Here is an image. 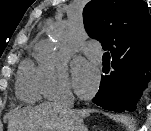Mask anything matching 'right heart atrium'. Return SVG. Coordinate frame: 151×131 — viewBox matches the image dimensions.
<instances>
[{
    "label": "right heart atrium",
    "mask_w": 151,
    "mask_h": 131,
    "mask_svg": "<svg viewBox=\"0 0 151 131\" xmlns=\"http://www.w3.org/2000/svg\"><path fill=\"white\" fill-rule=\"evenodd\" d=\"M38 75L43 95L48 99H58L71 95L67 58L52 50L40 57Z\"/></svg>",
    "instance_id": "d8ad5b80"
}]
</instances>
